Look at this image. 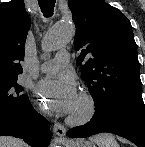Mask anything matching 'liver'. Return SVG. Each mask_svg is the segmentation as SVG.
I'll return each instance as SVG.
<instances>
[{"label":"liver","mask_w":145,"mask_h":147,"mask_svg":"<svg viewBox=\"0 0 145 147\" xmlns=\"http://www.w3.org/2000/svg\"><path fill=\"white\" fill-rule=\"evenodd\" d=\"M0 147H27V145L20 139L0 136Z\"/></svg>","instance_id":"liver-1"}]
</instances>
